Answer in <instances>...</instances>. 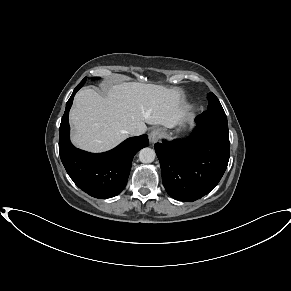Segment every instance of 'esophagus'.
I'll return each instance as SVG.
<instances>
[{
    "label": "esophagus",
    "mask_w": 291,
    "mask_h": 291,
    "mask_svg": "<svg viewBox=\"0 0 291 291\" xmlns=\"http://www.w3.org/2000/svg\"><path fill=\"white\" fill-rule=\"evenodd\" d=\"M163 133L162 129H153L149 134V141L151 143H156L162 137Z\"/></svg>",
    "instance_id": "1"
}]
</instances>
